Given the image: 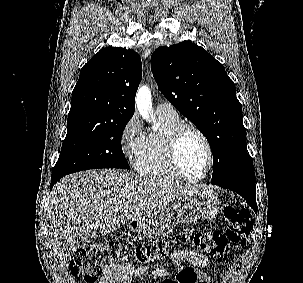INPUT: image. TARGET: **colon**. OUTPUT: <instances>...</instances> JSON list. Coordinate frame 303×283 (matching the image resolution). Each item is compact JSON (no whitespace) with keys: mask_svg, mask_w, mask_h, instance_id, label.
Wrapping results in <instances>:
<instances>
[{"mask_svg":"<svg viewBox=\"0 0 303 283\" xmlns=\"http://www.w3.org/2000/svg\"><path fill=\"white\" fill-rule=\"evenodd\" d=\"M222 216L227 224L225 230H195L183 233L172 241L151 245H128L119 241H104L79 249L70 263L73 276H83L86 283H94L106 267L112 264L142 267L150 262L167 257L171 251L184 242H191L218 262L226 260L232 245L244 244L252 229L249 211L231 203H224ZM202 276L193 268L186 267L175 278L163 283H203Z\"/></svg>","mask_w":303,"mask_h":283,"instance_id":"1","label":"colon"}]
</instances>
